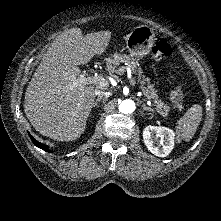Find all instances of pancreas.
Instances as JSON below:
<instances>
[{
	"label": "pancreas",
	"mask_w": 221,
	"mask_h": 221,
	"mask_svg": "<svg viewBox=\"0 0 221 221\" xmlns=\"http://www.w3.org/2000/svg\"><path fill=\"white\" fill-rule=\"evenodd\" d=\"M121 63L131 68L133 74H137V81L140 83V88L143 91V94L150 100H152L154 106H156L157 112L162 116H167L169 112V106L163 101L159 100L157 91L154 89L153 84L149 82L148 78L144 79L142 71L140 69L139 63L134 58L127 56L126 54L115 53L113 58H108L106 63V69L111 76L116 77V74H120V69H117ZM125 68V67H122ZM135 82V80L133 79Z\"/></svg>",
	"instance_id": "1"
}]
</instances>
